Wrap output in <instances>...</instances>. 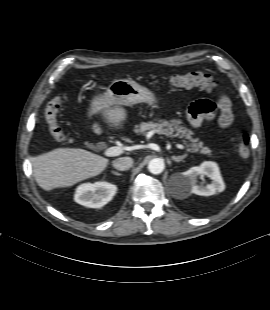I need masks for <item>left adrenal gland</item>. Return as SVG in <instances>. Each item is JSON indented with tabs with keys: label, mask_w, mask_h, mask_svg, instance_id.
<instances>
[{
	"label": "left adrenal gland",
	"mask_w": 270,
	"mask_h": 310,
	"mask_svg": "<svg viewBox=\"0 0 270 310\" xmlns=\"http://www.w3.org/2000/svg\"><path fill=\"white\" fill-rule=\"evenodd\" d=\"M187 157V154H184V155H181V156H172V159L175 161V162H180L182 161L184 158Z\"/></svg>",
	"instance_id": "1"
}]
</instances>
